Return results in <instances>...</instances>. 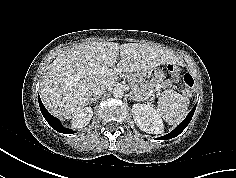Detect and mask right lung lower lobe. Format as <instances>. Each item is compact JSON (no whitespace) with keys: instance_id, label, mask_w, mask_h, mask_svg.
<instances>
[{"instance_id":"right-lung-lower-lobe-1","label":"right lung lower lobe","mask_w":236,"mask_h":178,"mask_svg":"<svg viewBox=\"0 0 236 178\" xmlns=\"http://www.w3.org/2000/svg\"><path fill=\"white\" fill-rule=\"evenodd\" d=\"M38 101H39V106H40V110L42 112V115L44 116V118L46 119V121L48 122V124H50L56 131L60 132V133H65V134H71L74 133L72 130L70 129H66L61 125L60 120H58L57 118L53 117L44 107L43 103L41 102L40 97H38Z\"/></svg>"}]
</instances>
